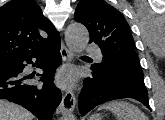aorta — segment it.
<instances>
[{"mask_svg":"<svg viewBox=\"0 0 165 120\" xmlns=\"http://www.w3.org/2000/svg\"><path fill=\"white\" fill-rule=\"evenodd\" d=\"M65 39L70 50L76 53L82 52L88 44L89 33L87 28L81 24L73 22L68 25L65 32ZM64 120H75L74 115L63 118Z\"/></svg>","mask_w":165,"mask_h":120,"instance_id":"762f6f07","label":"aorta"}]
</instances>
